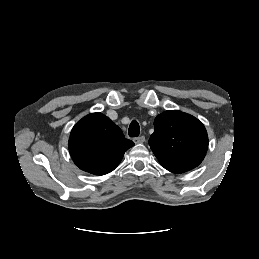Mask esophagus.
I'll list each match as a JSON object with an SVG mask.
<instances>
[{"mask_svg":"<svg viewBox=\"0 0 259 259\" xmlns=\"http://www.w3.org/2000/svg\"><path fill=\"white\" fill-rule=\"evenodd\" d=\"M145 141V137L144 136H139L134 138V143L139 144V143H143Z\"/></svg>","mask_w":259,"mask_h":259,"instance_id":"34e87169","label":"esophagus"}]
</instances>
